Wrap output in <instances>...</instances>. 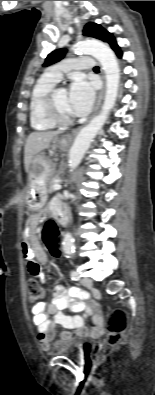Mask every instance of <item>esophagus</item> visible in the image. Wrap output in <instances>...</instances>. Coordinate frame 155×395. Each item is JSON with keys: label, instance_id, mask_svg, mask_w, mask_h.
<instances>
[{"label": "esophagus", "instance_id": "1", "mask_svg": "<svg viewBox=\"0 0 155 395\" xmlns=\"http://www.w3.org/2000/svg\"><path fill=\"white\" fill-rule=\"evenodd\" d=\"M102 74H103V87H102V89H101V91H100V93H99V95H98V97H97V101H96V105H95V108H94L93 115H95L96 112L98 111V109H99V107H100V105H101L103 96H104V92H105L104 73L102 72ZM76 133H77V130L74 131V132H72V133H70V134H67V135L65 136V139H66V140H71V139H73V137L75 136Z\"/></svg>", "mask_w": 155, "mask_h": 395}]
</instances>
